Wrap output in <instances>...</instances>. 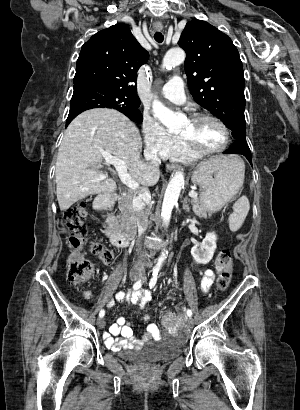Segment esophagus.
<instances>
[{"label": "esophagus", "instance_id": "34e87169", "mask_svg": "<svg viewBox=\"0 0 300 410\" xmlns=\"http://www.w3.org/2000/svg\"><path fill=\"white\" fill-rule=\"evenodd\" d=\"M163 29V26L162 25H157L156 26V30H158V31H161ZM176 168V166L174 165V164H167L166 165V169L168 170V171H172V170H174Z\"/></svg>", "mask_w": 300, "mask_h": 410}]
</instances>
